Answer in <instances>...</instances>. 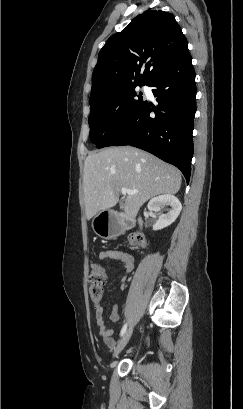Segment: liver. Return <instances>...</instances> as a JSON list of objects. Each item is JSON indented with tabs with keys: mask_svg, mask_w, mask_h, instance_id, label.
Wrapping results in <instances>:
<instances>
[{
	"mask_svg": "<svg viewBox=\"0 0 243 409\" xmlns=\"http://www.w3.org/2000/svg\"><path fill=\"white\" fill-rule=\"evenodd\" d=\"M84 199L87 219L114 207L122 188L138 190L127 195L124 212L134 219L140 207L161 194H176L180 171L154 155L130 146L109 147L91 153L84 162Z\"/></svg>",
	"mask_w": 243,
	"mask_h": 409,
	"instance_id": "1",
	"label": "liver"
}]
</instances>
